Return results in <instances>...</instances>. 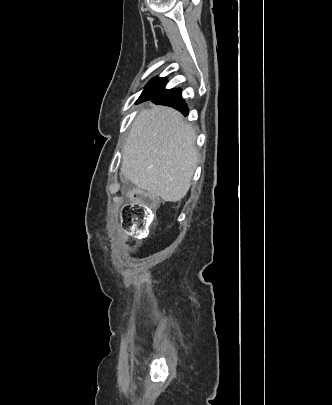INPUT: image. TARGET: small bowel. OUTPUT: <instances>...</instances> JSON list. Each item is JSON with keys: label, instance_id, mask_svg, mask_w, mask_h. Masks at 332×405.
Returning <instances> with one entry per match:
<instances>
[{"label": "small bowel", "instance_id": "1", "mask_svg": "<svg viewBox=\"0 0 332 405\" xmlns=\"http://www.w3.org/2000/svg\"><path fill=\"white\" fill-rule=\"evenodd\" d=\"M116 184L117 186H130L131 179L130 177H117Z\"/></svg>", "mask_w": 332, "mask_h": 405}]
</instances>
